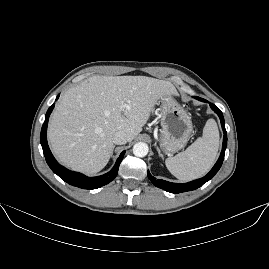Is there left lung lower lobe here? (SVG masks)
I'll return each mask as SVG.
<instances>
[{"label": "left lung lower lobe", "mask_w": 269, "mask_h": 269, "mask_svg": "<svg viewBox=\"0 0 269 269\" xmlns=\"http://www.w3.org/2000/svg\"><path fill=\"white\" fill-rule=\"evenodd\" d=\"M198 99L205 101V102H208L207 100H204L201 98H198ZM209 104H210V107L212 108V110L215 113H217V115L219 116L220 121H221V126L223 129V133H224L222 151H221V154H220L218 161L216 162L214 167L211 169V171L206 176H204L203 178L188 182V183H171V182L164 181L161 179H156L148 171V178L151 180V182L156 187L161 188V189L166 190L167 192H171V193H181V192L195 190V189L201 187L204 183L209 181L211 178H213V176L220 169V167L223 163V160H224L225 150L227 147V132L225 129V121H224V117H223L222 112L214 104H211V103H209Z\"/></svg>", "instance_id": "obj_1"}]
</instances>
